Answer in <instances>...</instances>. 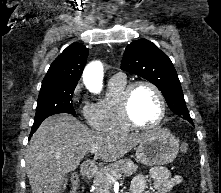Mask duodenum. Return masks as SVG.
<instances>
[{
	"mask_svg": "<svg viewBox=\"0 0 221 193\" xmlns=\"http://www.w3.org/2000/svg\"><path fill=\"white\" fill-rule=\"evenodd\" d=\"M80 172L84 179H90L94 174L93 165L91 163H83Z\"/></svg>",
	"mask_w": 221,
	"mask_h": 193,
	"instance_id": "1",
	"label": "duodenum"
}]
</instances>
